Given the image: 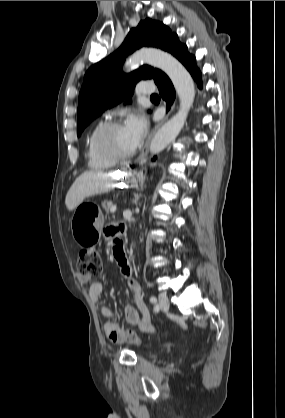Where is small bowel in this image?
Listing matches in <instances>:
<instances>
[{
  "instance_id": "1",
  "label": "small bowel",
  "mask_w": 285,
  "mask_h": 418,
  "mask_svg": "<svg viewBox=\"0 0 285 418\" xmlns=\"http://www.w3.org/2000/svg\"><path fill=\"white\" fill-rule=\"evenodd\" d=\"M121 231H122L121 226L111 227L105 230V235L111 241V245L113 249L117 241L119 240L118 236L120 235ZM117 263L121 271V274L126 278L128 291L131 294L133 301L135 303V307L131 305H127L124 307L123 315L125 319L129 323L138 326L144 332H147V333L153 332L154 327L151 321L150 313L142 298L140 285L138 281L136 280V278L133 276L131 262L128 259H125L124 261H119ZM77 279L81 283H86L89 281V278L83 277V276H77ZM102 293H103V284L101 282H94L91 284L90 289H89V296L95 304L101 301ZM99 311H100V314L105 318H111L114 315L113 310L108 306L100 307ZM108 325L109 324H105L104 326V330H105L108 340L114 344L122 343L125 340V337L119 331H117L116 333H113L112 330H109L107 328ZM111 325H113L115 329L120 328L116 324H111Z\"/></svg>"
}]
</instances>
